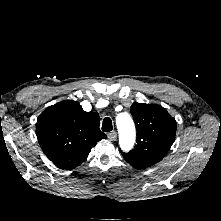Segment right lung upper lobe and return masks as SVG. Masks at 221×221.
Returning a JSON list of instances; mask_svg holds the SVG:
<instances>
[{
    "mask_svg": "<svg viewBox=\"0 0 221 221\" xmlns=\"http://www.w3.org/2000/svg\"><path fill=\"white\" fill-rule=\"evenodd\" d=\"M99 122L97 112H85L77 101L66 100L40 114L37 138L45 155L58 167L69 170L83 163L91 148L107 138Z\"/></svg>",
    "mask_w": 221,
    "mask_h": 221,
    "instance_id": "1",
    "label": "right lung upper lobe"
}]
</instances>
